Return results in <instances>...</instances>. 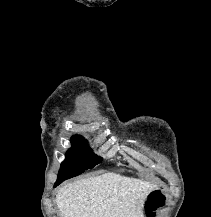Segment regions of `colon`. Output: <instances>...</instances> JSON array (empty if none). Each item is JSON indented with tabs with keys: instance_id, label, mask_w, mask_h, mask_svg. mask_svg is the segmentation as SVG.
I'll list each match as a JSON object with an SVG mask.
<instances>
[{
	"instance_id": "obj_1",
	"label": "colon",
	"mask_w": 211,
	"mask_h": 217,
	"mask_svg": "<svg viewBox=\"0 0 211 217\" xmlns=\"http://www.w3.org/2000/svg\"><path fill=\"white\" fill-rule=\"evenodd\" d=\"M165 203V197L160 191H153L147 200L146 211L148 217H154L158 208Z\"/></svg>"
}]
</instances>
